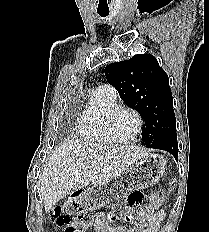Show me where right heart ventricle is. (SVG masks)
Masks as SVG:
<instances>
[{
  "label": "right heart ventricle",
  "instance_id": "e07e8e85",
  "mask_svg": "<svg viewBox=\"0 0 209 232\" xmlns=\"http://www.w3.org/2000/svg\"><path fill=\"white\" fill-rule=\"evenodd\" d=\"M115 106H117L116 100L109 97L103 89L94 90L77 119L79 136L90 144H109L110 141L104 132V118L106 113Z\"/></svg>",
  "mask_w": 209,
  "mask_h": 232
}]
</instances>
